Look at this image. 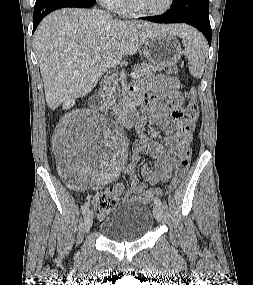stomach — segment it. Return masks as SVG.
<instances>
[{"instance_id":"stomach-1","label":"stomach","mask_w":253,"mask_h":285,"mask_svg":"<svg viewBox=\"0 0 253 285\" xmlns=\"http://www.w3.org/2000/svg\"><path fill=\"white\" fill-rule=\"evenodd\" d=\"M142 50L151 64L161 67L175 65L182 55L180 43L174 35L168 33L147 38Z\"/></svg>"}]
</instances>
